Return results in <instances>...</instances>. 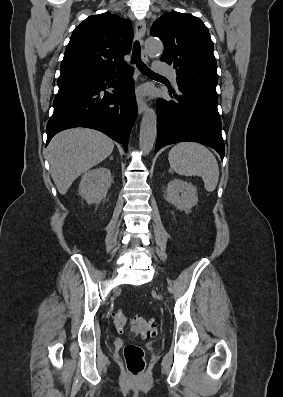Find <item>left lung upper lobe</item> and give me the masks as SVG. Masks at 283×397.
<instances>
[{"label":"left lung upper lobe","mask_w":283,"mask_h":397,"mask_svg":"<svg viewBox=\"0 0 283 397\" xmlns=\"http://www.w3.org/2000/svg\"><path fill=\"white\" fill-rule=\"evenodd\" d=\"M150 33L164 43L161 61L176 69L178 86L217 96V64L208 28L191 14L168 12L157 19Z\"/></svg>","instance_id":"1"}]
</instances>
